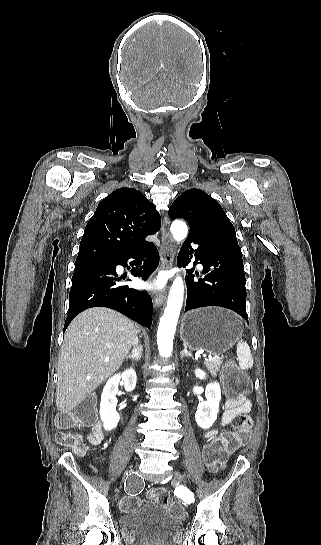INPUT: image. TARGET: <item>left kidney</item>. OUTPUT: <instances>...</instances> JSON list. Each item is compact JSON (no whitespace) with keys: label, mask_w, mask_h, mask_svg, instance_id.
Masks as SVG:
<instances>
[{"label":"left kidney","mask_w":321,"mask_h":545,"mask_svg":"<svg viewBox=\"0 0 321 545\" xmlns=\"http://www.w3.org/2000/svg\"><path fill=\"white\" fill-rule=\"evenodd\" d=\"M195 377L198 379H206V373L201 369L194 371ZM205 397L207 401L199 403L195 413L197 425L201 429H210L217 419L219 413V403L221 401V389L219 383H209L205 389Z\"/></svg>","instance_id":"obj_1"}]
</instances>
